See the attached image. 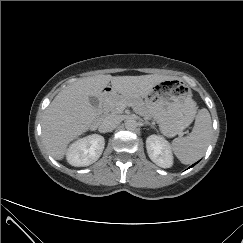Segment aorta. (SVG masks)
<instances>
[{
    "instance_id": "762f6f07",
    "label": "aorta",
    "mask_w": 243,
    "mask_h": 243,
    "mask_svg": "<svg viewBox=\"0 0 243 243\" xmlns=\"http://www.w3.org/2000/svg\"><path fill=\"white\" fill-rule=\"evenodd\" d=\"M137 127H138V123H137L136 120H134V119H128V120H126V122H125V128L127 130L133 131Z\"/></svg>"
}]
</instances>
